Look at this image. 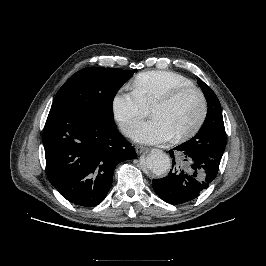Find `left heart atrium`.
Listing matches in <instances>:
<instances>
[{
  "label": "left heart atrium",
  "instance_id": "left-heart-atrium-1",
  "mask_svg": "<svg viewBox=\"0 0 266 266\" xmlns=\"http://www.w3.org/2000/svg\"><path fill=\"white\" fill-rule=\"evenodd\" d=\"M135 141L148 144H158L166 142L174 137L171 128L160 118L141 123L132 131Z\"/></svg>",
  "mask_w": 266,
  "mask_h": 266
}]
</instances>
